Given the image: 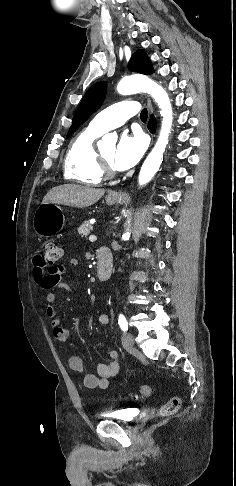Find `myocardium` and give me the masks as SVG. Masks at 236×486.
Instances as JSON below:
<instances>
[{"instance_id": "obj_1", "label": "myocardium", "mask_w": 236, "mask_h": 486, "mask_svg": "<svg viewBox=\"0 0 236 486\" xmlns=\"http://www.w3.org/2000/svg\"><path fill=\"white\" fill-rule=\"evenodd\" d=\"M96 159H97V164L100 170V173L103 178H113L116 175V172L113 168V166L109 165L100 155L99 152H96Z\"/></svg>"}]
</instances>
